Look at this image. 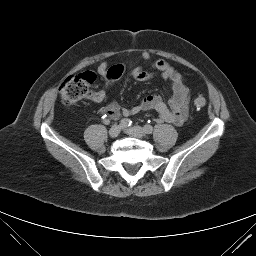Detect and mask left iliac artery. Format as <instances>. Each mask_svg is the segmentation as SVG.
Here are the masks:
<instances>
[{"instance_id": "left-iliac-artery-1", "label": "left iliac artery", "mask_w": 256, "mask_h": 256, "mask_svg": "<svg viewBox=\"0 0 256 256\" xmlns=\"http://www.w3.org/2000/svg\"><path fill=\"white\" fill-rule=\"evenodd\" d=\"M143 130L146 134H151L153 131V127L150 124H146L144 125Z\"/></svg>"}]
</instances>
